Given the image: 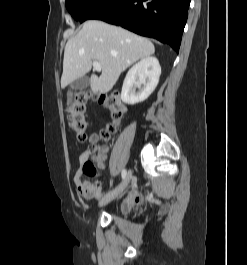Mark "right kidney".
I'll return each instance as SVG.
<instances>
[{
  "instance_id": "ca27d5eb",
  "label": "right kidney",
  "mask_w": 247,
  "mask_h": 265,
  "mask_svg": "<svg viewBox=\"0 0 247 265\" xmlns=\"http://www.w3.org/2000/svg\"><path fill=\"white\" fill-rule=\"evenodd\" d=\"M160 74L161 67L157 58L146 57L140 60L128 71L124 79L122 101L134 105L146 100L156 88Z\"/></svg>"
}]
</instances>
